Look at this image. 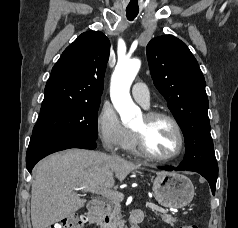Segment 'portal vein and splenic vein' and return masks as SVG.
Segmentation results:
<instances>
[{
	"mask_svg": "<svg viewBox=\"0 0 238 228\" xmlns=\"http://www.w3.org/2000/svg\"><path fill=\"white\" fill-rule=\"evenodd\" d=\"M85 187L77 188L76 190H82ZM91 192L94 194L102 195L103 197L110 199V200H123L124 195L121 192L112 191L110 189L101 188V187H94L91 189ZM146 207H149L151 210H155L162 213H167L164 209L158 207L157 205L146 202Z\"/></svg>",
	"mask_w": 238,
	"mask_h": 228,
	"instance_id": "obj_1",
	"label": "portal vein and splenic vein"
}]
</instances>
